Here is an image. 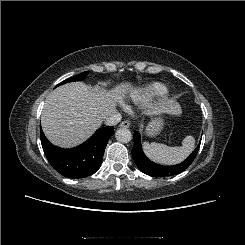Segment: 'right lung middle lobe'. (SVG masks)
<instances>
[{
	"mask_svg": "<svg viewBox=\"0 0 245 245\" xmlns=\"http://www.w3.org/2000/svg\"><path fill=\"white\" fill-rule=\"evenodd\" d=\"M87 74H88V71H85V72H83V73H81V74H79V75H77V76L71 77V78H69V79L63 81V82L60 83L59 85L64 84V83H67V82L83 80V79L87 76ZM59 85H57V86H59Z\"/></svg>",
	"mask_w": 245,
	"mask_h": 245,
	"instance_id": "dd1d6c3e",
	"label": "right lung middle lobe"
}]
</instances>
